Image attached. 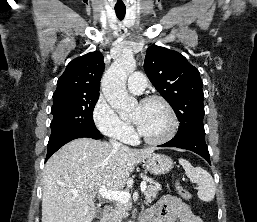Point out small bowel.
Listing matches in <instances>:
<instances>
[{
    "label": "small bowel",
    "instance_id": "c3829d8e",
    "mask_svg": "<svg viewBox=\"0 0 257 222\" xmlns=\"http://www.w3.org/2000/svg\"><path fill=\"white\" fill-rule=\"evenodd\" d=\"M146 222H203L180 198L167 196L146 214Z\"/></svg>",
    "mask_w": 257,
    "mask_h": 222
}]
</instances>
